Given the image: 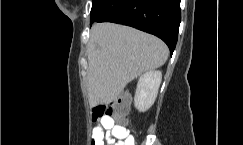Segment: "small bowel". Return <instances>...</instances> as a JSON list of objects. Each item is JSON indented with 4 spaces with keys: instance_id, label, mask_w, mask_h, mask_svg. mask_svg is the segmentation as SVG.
Segmentation results:
<instances>
[{
    "instance_id": "1",
    "label": "small bowel",
    "mask_w": 243,
    "mask_h": 145,
    "mask_svg": "<svg viewBox=\"0 0 243 145\" xmlns=\"http://www.w3.org/2000/svg\"><path fill=\"white\" fill-rule=\"evenodd\" d=\"M92 145H135V139L124 126L105 117L92 131Z\"/></svg>"
}]
</instances>
